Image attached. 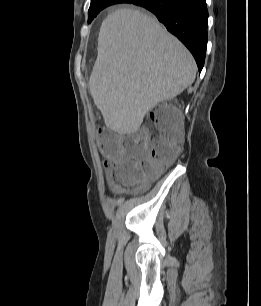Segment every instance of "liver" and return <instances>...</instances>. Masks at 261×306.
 <instances>
[{"instance_id": "1", "label": "liver", "mask_w": 261, "mask_h": 306, "mask_svg": "<svg viewBox=\"0 0 261 306\" xmlns=\"http://www.w3.org/2000/svg\"><path fill=\"white\" fill-rule=\"evenodd\" d=\"M89 90L108 128L132 134L146 113L196 76L190 52L154 18L119 9L102 22Z\"/></svg>"}]
</instances>
